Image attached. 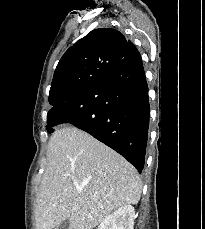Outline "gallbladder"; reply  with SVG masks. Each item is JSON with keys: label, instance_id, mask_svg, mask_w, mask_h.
I'll use <instances>...</instances> for the list:
<instances>
[{"label": "gallbladder", "instance_id": "1", "mask_svg": "<svg viewBox=\"0 0 205 229\" xmlns=\"http://www.w3.org/2000/svg\"><path fill=\"white\" fill-rule=\"evenodd\" d=\"M70 222L68 219L61 222L58 226H56L54 229H69Z\"/></svg>", "mask_w": 205, "mask_h": 229}]
</instances>
